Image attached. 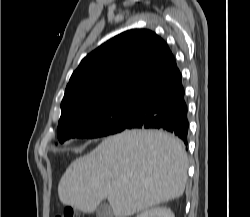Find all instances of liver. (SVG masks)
Segmentation results:
<instances>
[{
  "label": "liver",
  "mask_w": 250,
  "mask_h": 217,
  "mask_svg": "<svg viewBox=\"0 0 250 217\" xmlns=\"http://www.w3.org/2000/svg\"><path fill=\"white\" fill-rule=\"evenodd\" d=\"M188 160L183 143L157 130H126L74 160L61 177L64 205L93 213L107 199L127 217L182 196Z\"/></svg>",
  "instance_id": "obj_1"
}]
</instances>
